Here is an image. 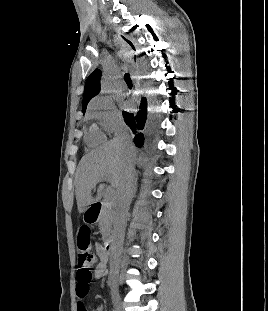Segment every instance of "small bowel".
I'll list each match as a JSON object with an SVG mask.
<instances>
[{"instance_id": "1", "label": "small bowel", "mask_w": 268, "mask_h": 311, "mask_svg": "<svg viewBox=\"0 0 268 311\" xmlns=\"http://www.w3.org/2000/svg\"><path fill=\"white\" fill-rule=\"evenodd\" d=\"M95 251H96L97 258H95L93 260L92 264L94 265V267H93L94 279L98 280L106 274L108 254H107L105 248L98 242L95 243ZM76 295L78 298L77 311H86V308L82 302V299L85 296H81L79 294L78 285H76Z\"/></svg>"}]
</instances>
